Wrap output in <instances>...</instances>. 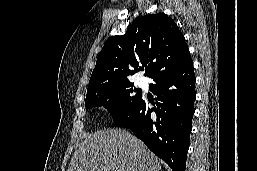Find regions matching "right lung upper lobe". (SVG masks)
I'll list each match as a JSON object with an SVG mask.
<instances>
[{"label":"right lung upper lobe","mask_w":257,"mask_h":171,"mask_svg":"<svg viewBox=\"0 0 257 171\" xmlns=\"http://www.w3.org/2000/svg\"><path fill=\"white\" fill-rule=\"evenodd\" d=\"M184 35L164 13L137 18L122 36L109 38L96 61L88 91L130 82L142 64L150 78L190 60ZM133 68V69H132Z\"/></svg>","instance_id":"right-lung-upper-lobe-1"}]
</instances>
